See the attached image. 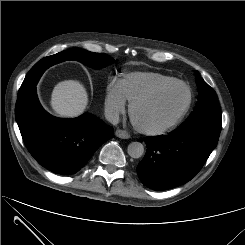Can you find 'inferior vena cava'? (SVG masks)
I'll return each mask as SVG.
<instances>
[{
  "mask_svg": "<svg viewBox=\"0 0 245 245\" xmlns=\"http://www.w3.org/2000/svg\"><path fill=\"white\" fill-rule=\"evenodd\" d=\"M105 118L112 124L119 123V112L115 110H105Z\"/></svg>",
  "mask_w": 245,
  "mask_h": 245,
  "instance_id": "1",
  "label": "inferior vena cava"
}]
</instances>
